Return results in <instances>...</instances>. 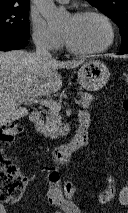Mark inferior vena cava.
I'll return each mask as SVG.
<instances>
[{"mask_svg":"<svg viewBox=\"0 0 128 213\" xmlns=\"http://www.w3.org/2000/svg\"><path fill=\"white\" fill-rule=\"evenodd\" d=\"M36 56L43 62H49L52 60V55L49 51V45L44 37H41L35 41Z\"/></svg>","mask_w":128,"mask_h":213,"instance_id":"602c4592","label":"inferior vena cava"}]
</instances>
